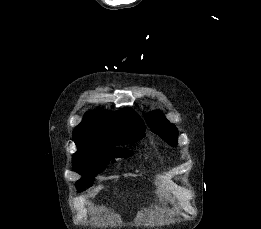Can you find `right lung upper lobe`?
<instances>
[{"instance_id": "1", "label": "right lung upper lobe", "mask_w": 261, "mask_h": 229, "mask_svg": "<svg viewBox=\"0 0 261 229\" xmlns=\"http://www.w3.org/2000/svg\"><path fill=\"white\" fill-rule=\"evenodd\" d=\"M127 125H144L139 115L131 108L117 112L99 110L87 112L83 121L74 129L73 138L77 147H113L125 144L118 129Z\"/></svg>"}]
</instances>
